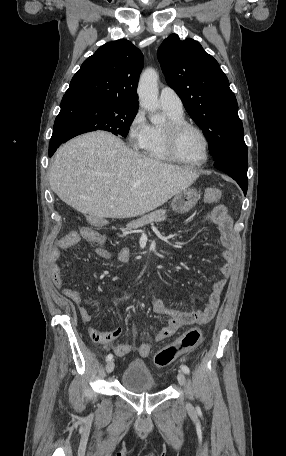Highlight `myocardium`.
I'll use <instances>...</instances> for the list:
<instances>
[{
	"label": "myocardium",
	"instance_id": "obj_1",
	"mask_svg": "<svg viewBox=\"0 0 286 456\" xmlns=\"http://www.w3.org/2000/svg\"><path fill=\"white\" fill-rule=\"evenodd\" d=\"M186 129L195 130L196 132L199 133V135L202 137V139L204 141L205 155L199 161L185 160L177 152L176 144H177L178 135ZM162 136H163V144H164L165 152L168 155V157L173 161H176V162L184 164V165L197 167V166L204 165L210 157V141H209L206 133L196 124H193L186 120H170L163 127Z\"/></svg>",
	"mask_w": 286,
	"mask_h": 456
}]
</instances>
